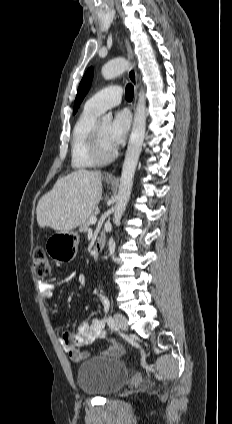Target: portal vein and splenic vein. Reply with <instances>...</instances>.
Wrapping results in <instances>:
<instances>
[{
  "mask_svg": "<svg viewBox=\"0 0 232 424\" xmlns=\"http://www.w3.org/2000/svg\"><path fill=\"white\" fill-rule=\"evenodd\" d=\"M90 224H95L97 222V218L96 217H92L89 220Z\"/></svg>",
  "mask_w": 232,
  "mask_h": 424,
  "instance_id": "18ae733b",
  "label": "portal vein and splenic vein"
}]
</instances>
